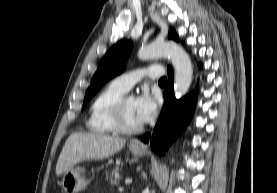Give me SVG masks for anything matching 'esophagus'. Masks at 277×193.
<instances>
[{
    "label": "esophagus",
    "mask_w": 277,
    "mask_h": 193,
    "mask_svg": "<svg viewBox=\"0 0 277 193\" xmlns=\"http://www.w3.org/2000/svg\"><path fill=\"white\" fill-rule=\"evenodd\" d=\"M136 146H139V147H143L144 145L143 144H141V143H139V142H136V143H134Z\"/></svg>",
    "instance_id": "obj_1"
}]
</instances>
